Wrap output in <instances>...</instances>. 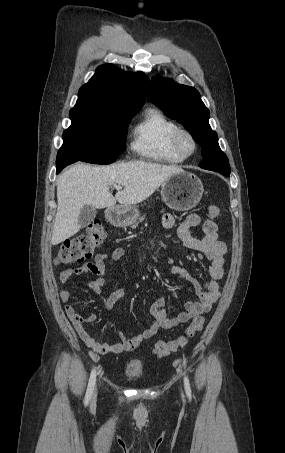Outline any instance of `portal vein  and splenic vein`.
<instances>
[{"label":"portal vein and splenic vein","mask_w":285,"mask_h":453,"mask_svg":"<svg viewBox=\"0 0 285 453\" xmlns=\"http://www.w3.org/2000/svg\"><path fill=\"white\" fill-rule=\"evenodd\" d=\"M113 187H114L115 189H117V190H120V189H122V187H121V186H119V185H113Z\"/></svg>","instance_id":"18ae733b"}]
</instances>
